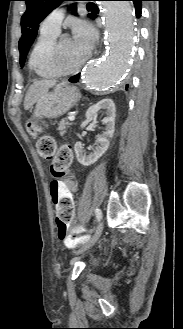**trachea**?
<instances>
[{
    "mask_svg": "<svg viewBox=\"0 0 183 329\" xmlns=\"http://www.w3.org/2000/svg\"><path fill=\"white\" fill-rule=\"evenodd\" d=\"M93 4H88L87 6H92Z\"/></svg>",
    "mask_w": 183,
    "mask_h": 329,
    "instance_id": "obj_1",
    "label": "trachea"
}]
</instances>
